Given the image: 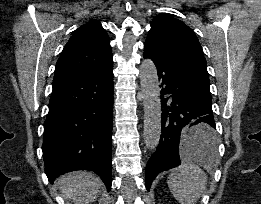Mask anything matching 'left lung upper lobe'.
Returning <instances> with one entry per match:
<instances>
[{
  "label": "left lung upper lobe",
  "mask_w": 261,
  "mask_h": 204,
  "mask_svg": "<svg viewBox=\"0 0 261 204\" xmlns=\"http://www.w3.org/2000/svg\"><path fill=\"white\" fill-rule=\"evenodd\" d=\"M146 42L180 56L208 75L201 45L194 31L182 21L168 15L155 17Z\"/></svg>",
  "instance_id": "left-lung-upper-lobe-1"
}]
</instances>
